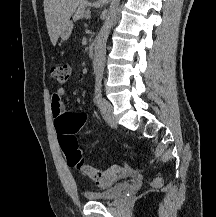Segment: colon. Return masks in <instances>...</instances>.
I'll list each match as a JSON object with an SVG mask.
<instances>
[{
    "label": "colon",
    "instance_id": "obj_1",
    "mask_svg": "<svg viewBox=\"0 0 216 217\" xmlns=\"http://www.w3.org/2000/svg\"><path fill=\"white\" fill-rule=\"evenodd\" d=\"M52 77L60 84H66L70 76V67L66 63H57L51 68ZM87 121L84 112L66 113L56 122L58 142L70 167L78 168L81 172L93 179L99 186L111 185L124 172L125 168L113 165L105 170H100L84 164L82 151L76 139V132L81 129ZM161 180L156 178L154 185H159Z\"/></svg>",
    "mask_w": 216,
    "mask_h": 217
}]
</instances>
